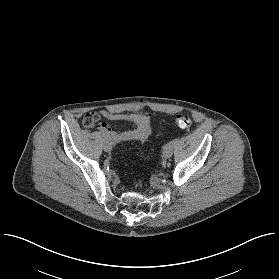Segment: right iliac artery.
I'll use <instances>...</instances> for the list:
<instances>
[{"label":"right iliac artery","instance_id":"obj_1","mask_svg":"<svg viewBox=\"0 0 279 279\" xmlns=\"http://www.w3.org/2000/svg\"><path fill=\"white\" fill-rule=\"evenodd\" d=\"M102 136L104 137L105 140H108V141H109L108 135L102 133Z\"/></svg>","mask_w":279,"mask_h":279}]
</instances>
